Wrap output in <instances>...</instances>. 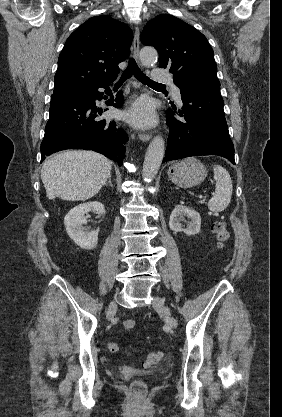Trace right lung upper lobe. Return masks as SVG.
Masks as SVG:
<instances>
[{
	"label": "right lung upper lobe",
	"mask_w": 282,
	"mask_h": 417,
	"mask_svg": "<svg viewBox=\"0 0 282 417\" xmlns=\"http://www.w3.org/2000/svg\"><path fill=\"white\" fill-rule=\"evenodd\" d=\"M131 29L109 16H94L67 39L58 59L53 95L112 82L128 58Z\"/></svg>",
	"instance_id": "cb5924a9"
}]
</instances>
